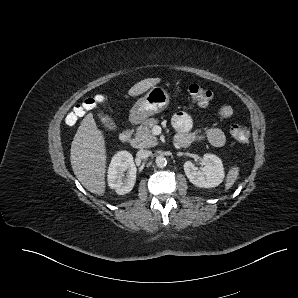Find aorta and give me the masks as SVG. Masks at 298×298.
<instances>
[{
    "label": "aorta",
    "instance_id": "1",
    "mask_svg": "<svg viewBox=\"0 0 298 298\" xmlns=\"http://www.w3.org/2000/svg\"><path fill=\"white\" fill-rule=\"evenodd\" d=\"M166 158L163 155H158L155 158V163L158 167H164L166 165Z\"/></svg>",
    "mask_w": 298,
    "mask_h": 298
}]
</instances>
